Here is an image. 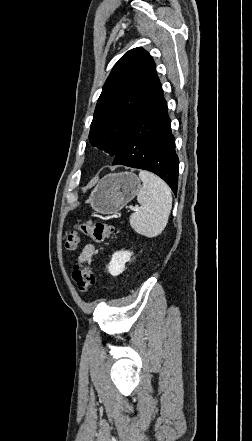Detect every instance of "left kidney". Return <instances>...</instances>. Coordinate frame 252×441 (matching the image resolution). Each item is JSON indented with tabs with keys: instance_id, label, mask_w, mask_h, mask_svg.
Wrapping results in <instances>:
<instances>
[{
	"instance_id": "5707ae66",
	"label": "left kidney",
	"mask_w": 252,
	"mask_h": 441,
	"mask_svg": "<svg viewBox=\"0 0 252 441\" xmlns=\"http://www.w3.org/2000/svg\"><path fill=\"white\" fill-rule=\"evenodd\" d=\"M132 253L129 251H117L112 255V259L108 264V272L112 276H118L125 270L126 262L130 261Z\"/></svg>"
}]
</instances>
